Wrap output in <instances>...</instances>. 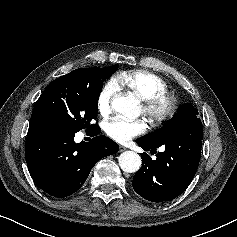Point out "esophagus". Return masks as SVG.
I'll return each instance as SVG.
<instances>
[{"label":"esophagus","mask_w":237,"mask_h":237,"mask_svg":"<svg viewBox=\"0 0 237 237\" xmlns=\"http://www.w3.org/2000/svg\"><path fill=\"white\" fill-rule=\"evenodd\" d=\"M125 150H126V147H125V146L119 145V151H120V152H123V151H125Z\"/></svg>","instance_id":"34e87169"}]
</instances>
